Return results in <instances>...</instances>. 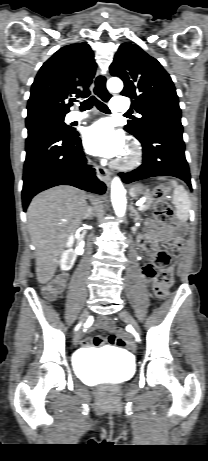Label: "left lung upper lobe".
<instances>
[{
  "label": "left lung upper lobe",
  "mask_w": 208,
  "mask_h": 461,
  "mask_svg": "<svg viewBox=\"0 0 208 461\" xmlns=\"http://www.w3.org/2000/svg\"><path fill=\"white\" fill-rule=\"evenodd\" d=\"M112 76L121 78V95L133 99L132 106L142 115L128 121L124 130L137 139L153 126L181 124V109L173 81L162 65L138 45L123 43L110 66Z\"/></svg>",
  "instance_id": "1"
}]
</instances>
